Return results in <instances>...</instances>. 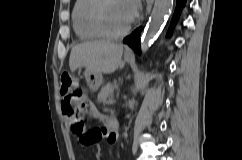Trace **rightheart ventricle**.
<instances>
[{
  "mask_svg": "<svg viewBox=\"0 0 242 160\" xmlns=\"http://www.w3.org/2000/svg\"><path fill=\"white\" fill-rule=\"evenodd\" d=\"M96 0H76L72 10V25L76 36L83 41L100 39L93 28L90 12Z\"/></svg>",
  "mask_w": 242,
  "mask_h": 160,
  "instance_id": "1",
  "label": "right heart ventricle"
}]
</instances>
